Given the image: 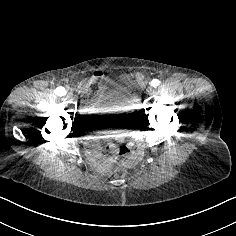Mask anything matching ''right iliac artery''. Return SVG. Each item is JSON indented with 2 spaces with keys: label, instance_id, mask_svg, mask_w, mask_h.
Wrapping results in <instances>:
<instances>
[{
  "label": "right iliac artery",
  "instance_id": "82829eb1",
  "mask_svg": "<svg viewBox=\"0 0 236 236\" xmlns=\"http://www.w3.org/2000/svg\"><path fill=\"white\" fill-rule=\"evenodd\" d=\"M54 93L57 95V96H65L66 95V90L64 87L60 86V87H57L55 90H54Z\"/></svg>",
  "mask_w": 236,
  "mask_h": 236
}]
</instances>
